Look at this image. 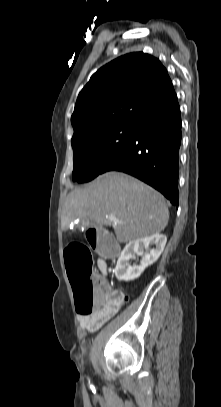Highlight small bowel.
<instances>
[{"mask_svg":"<svg viewBox=\"0 0 221 407\" xmlns=\"http://www.w3.org/2000/svg\"><path fill=\"white\" fill-rule=\"evenodd\" d=\"M97 266L99 269L100 274H96V279L102 285L103 287L113 291L116 294H123V292L119 290H112L111 286L109 285L107 281V264L106 261L102 258H100L97 262ZM118 309L108 312H99V313H94L89 316H80L79 317V323L82 326L83 329H85L88 332H95L98 330L101 326H103L111 316H113Z\"/></svg>","mask_w":221,"mask_h":407,"instance_id":"obj_1","label":"small bowel"}]
</instances>
